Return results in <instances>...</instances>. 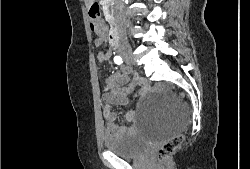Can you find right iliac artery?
<instances>
[{
    "instance_id": "obj_1",
    "label": "right iliac artery",
    "mask_w": 250,
    "mask_h": 169,
    "mask_svg": "<svg viewBox=\"0 0 250 169\" xmlns=\"http://www.w3.org/2000/svg\"><path fill=\"white\" fill-rule=\"evenodd\" d=\"M114 62L116 63V64H121L123 61H122V58L120 57V56H115L114 57Z\"/></svg>"
}]
</instances>
